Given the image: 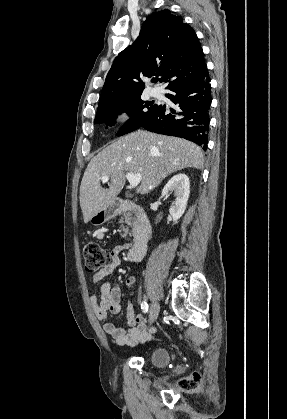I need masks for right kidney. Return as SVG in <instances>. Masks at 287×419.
<instances>
[{
  "instance_id": "ca27d5eb",
  "label": "right kidney",
  "mask_w": 287,
  "mask_h": 419,
  "mask_svg": "<svg viewBox=\"0 0 287 419\" xmlns=\"http://www.w3.org/2000/svg\"><path fill=\"white\" fill-rule=\"evenodd\" d=\"M171 192H174L176 199L169 212L173 221L177 222L184 214L189 198L190 182L188 176L181 173L173 176L164 186L161 195L162 197H167Z\"/></svg>"
}]
</instances>
